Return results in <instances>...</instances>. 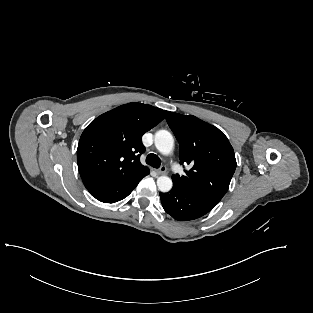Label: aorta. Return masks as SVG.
<instances>
[{"label":"aorta","mask_w":313,"mask_h":313,"mask_svg":"<svg viewBox=\"0 0 313 313\" xmlns=\"http://www.w3.org/2000/svg\"><path fill=\"white\" fill-rule=\"evenodd\" d=\"M155 147L157 150L168 155L172 152L174 147V139L172 134L167 130H159L155 134ZM157 186L161 192H168L173 186L172 180L167 176H160L157 179Z\"/></svg>","instance_id":"aorta-1"}]
</instances>
